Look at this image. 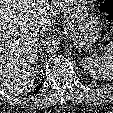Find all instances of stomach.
I'll list each match as a JSON object with an SVG mask.
<instances>
[{"instance_id": "0dacf381", "label": "stomach", "mask_w": 113, "mask_h": 113, "mask_svg": "<svg viewBox=\"0 0 113 113\" xmlns=\"http://www.w3.org/2000/svg\"><path fill=\"white\" fill-rule=\"evenodd\" d=\"M87 0H63L65 25L63 30L82 50L91 49L99 39L101 24L99 17L88 7Z\"/></svg>"}]
</instances>
